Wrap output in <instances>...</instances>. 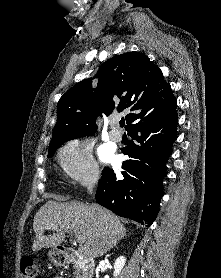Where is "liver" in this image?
Returning <instances> with one entry per match:
<instances>
[{"mask_svg":"<svg viewBox=\"0 0 221 278\" xmlns=\"http://www.w3.org/2000/svg\"><path fill=\"white\" fill-rule=\"evenodd\" d=\"M33 229L36 234L33 251L56 248L64 241L65 233L73 231L84 239L79 254L89 258L103 256L126 235L125 227L112 212L97 204L79 201L46 202L34 217ZM45 229L56 233L45 236Z\"/></svg>","mask_w":221,"mask_h":278,"instance_id":"liver-1","label":"liver"}]
</instances>
